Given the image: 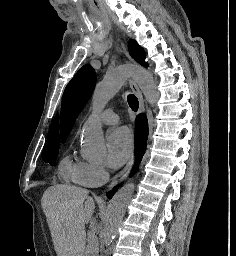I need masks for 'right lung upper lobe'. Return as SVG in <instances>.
<instances>
[{"instance_id":"right-lung-upper-lobe-1","label":"right lung upper lobe","mask_w":236,"mask_h":256,"mask_svg":"<svg viewBox=\"0 0 236 256\" xmlns=\"http://www.w3.org/2000/svg\"><path fill=\"white\" fill-rule=\"evenodd\" d=\"M46 142H59L58 114L51 125L50 133Z\"/></svg>"}]
</instances>
